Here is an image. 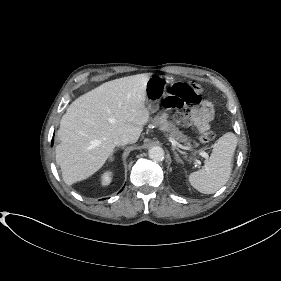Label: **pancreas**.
I'll list each match as a JSON object with an SVG mask.
<instances>
[{"label": "pancreas", "instance_id": "pancreas-1", "mask_svg": "<svg viewBox=\"0 0 281 281\" xmlns=\"http://www.w3.org/2000/svg\"><path fill=\"white\" fill-rule=\"evenodd\" d=\"M167 117L168 115L166 113H159L151 119V123L158 127L159 130L168 133L174 140L189 144L190 139L186 138L172 121H168Z\"/></svg>", "mask_w": 281, "mask_h": 281}]
</instances>
